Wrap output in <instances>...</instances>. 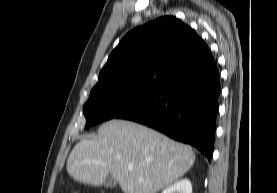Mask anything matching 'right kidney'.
Masks as SVG:
<instances>
[{
	"mask_svg": "<svg viewBox=\"0 0 277 193\" xmlns=\"http://www.w3.org/2000/svg\"><path fill=\"white\" fill-rule=\"evenodd\" d=\"M162 193H192L191 182L188 179H182L169 186Z\"/></svg>",
	"mask_w": 277,
	"mask_h": 193,
	"instance_id": "obj_1",
	"label": "right kidney"
}]
</instances>
